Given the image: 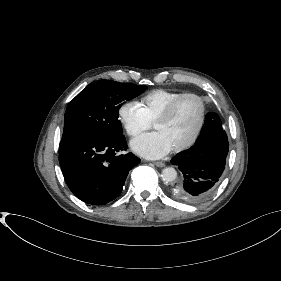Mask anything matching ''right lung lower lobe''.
<instances>
[{
    "mask_svg": "<svg viewBox=\"0 0 281 281\" xmlns=\"http://www.w3.org/2000/svg\"><path fill=\"white\" fill-rule=\"evenodd\" d=\"M124 135L108 139H84L59 148L60 167L71 192L92 205H104L118 197L129 171L140 163L126 150Z\"/></svg>",
    "mask_w": 281,
    "mask_h": 281,
    "instance_id": "1",
    "label": "right lung lower lobe"
}]
</instances>
